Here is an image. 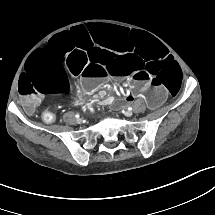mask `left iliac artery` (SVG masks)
<instances>
[{"label":"left iliac artery","mask_w":215,"mask_h":215,"mask_svg":"<svg viewBox=\"0 0 215 215\" xmlns=\"http://www.w3.org/2000/svg\"><path fill=\"white\" fill-rule=\"evenodd\" d=\"M128 110H132V107H131V106H129V107H128Z\"/></svg>","instance_id":"obj_1"}]
</instances>
